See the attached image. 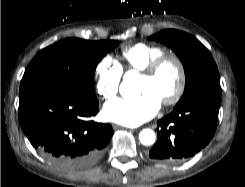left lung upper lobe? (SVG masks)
Returning <instances> with one entry per match:
<instances>
[{
    "label": "left lung upper lobe",
    "instance_id": "obj_1",
    "mask_svg": "<svg viewBox=\"0 0 245 187\" xmlns=\"http://www.w3.org/2000/svg\"><path fill=\"white\" fill-rule=\"evenodd\" d=\"M152 40L170 46L183 63L185 93L176 106L205 90L220 88L219 72L208 49L193 36L174 29L163 30Z\"/></svg>",
    "mask_w": 245,
    "mask_h": 187
}]
</instances>
